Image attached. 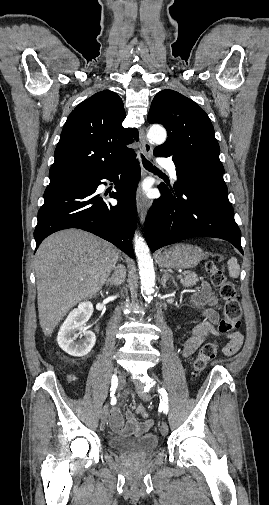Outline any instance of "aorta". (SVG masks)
Wrapping results in <instances>:
<instances>
[{
    "mask_svg": "<svg viewBox=\"0 0 269 505\" xmlns=\"http://www.w3.org/2000/svg\"><path fill=\"white\" fill-rule=\"evenodd\" d=\"M148 139L155 144H163L166 140V130L160 125H153L148 131ZM134 250L138 260L141 290L146 301H150L155 292V271L153 259L144 239L137 233L134 236Z\"/></svg>",
    "mask_w": 269,
    "mask_h": 505,
    "instance_id": "762f6f07",
    "label": "aorta"
}]
</instances>
